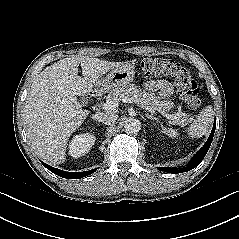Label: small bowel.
<instances>
[{
    "mask_svg": "<svg viewBox=\"0 0 239 239\" xmlns=\"http://www.w3.org/2000/svg\"><path fill=\"white\" fill-rule=\"evenodd\" d=\"M146 87L149 90L158 91L160 95L165 97L169 96L173 91L172 85L165 80L150 81L146 84Z\"/></svg>",
    "mask_w": 239,
    "mask_h": 239,
    "instance_id": "c3829d8e",
    "label": "small bowel"
}]
</instances>
